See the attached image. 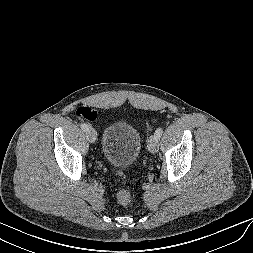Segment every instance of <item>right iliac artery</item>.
<instances>
[{"label": "right iliac artery", "instance_id": "82829eb1", "mask_svg": "<svg viewBox=\"0 0 253 253\" xmlns=\"http://www.w3.org/2000/svg\"><path fill=\"white\" fill-rule=\"evenodd\" d=\"M80 127H81V129L83 130V131H88L89 130V126L86 124V123H82L81 125H80Z\"/></svg>", "mask_w": 253, "mask_h": 253}]
</instances>
